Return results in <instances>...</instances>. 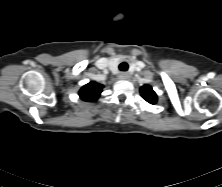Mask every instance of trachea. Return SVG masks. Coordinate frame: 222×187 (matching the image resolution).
<instances>
[{
  "instance_id": "3493384b",
  "label": "trachea",
  "mask_w": 222,
  "mask_h": 187,
  "mask_svg": "<svg viewBox=\"0 0 222 187\" xmlns=\"http://www.w3.org/2000/svg\"><path fill=\"white\" fill-rule=\"evenodd\" d=\"M119 69L121 71H126L128 69V64L126 62H123L119 65Z\"/></svg>"
}]
</instances>
